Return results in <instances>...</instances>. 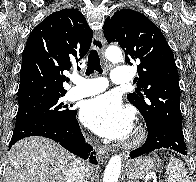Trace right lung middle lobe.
Returning a JSON list of instances; mask_svg holds the SVG:
<instances>
[{
	"mask_svg": "<svg viewBox=\"0 0 196 182\" xmlns=\"http://www.w3.org/2000/svg\"><path fill=\"white\" fill-rule=\"evenodd\" d=\"M63 96L42 98L20 104L16 116V125L38 118L71 119L76 111L70 110L68 105L61 101Z\"/></svg>",
	"mask_w": 196,
	"mask_h": 182,
	"instance_id": "obj_1",
	"label": "right lung middle lobe"
}]
</instances>
